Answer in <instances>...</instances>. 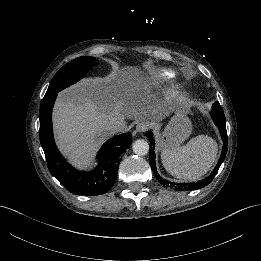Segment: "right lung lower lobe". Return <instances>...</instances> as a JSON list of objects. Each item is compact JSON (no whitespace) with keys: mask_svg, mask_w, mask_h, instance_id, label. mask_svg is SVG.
<instances>
[{"mask_svg":"<svg viewBox=\"0 0 261 261\" xmlns=\"http://www.w3.org/2000/svg\"><path fill=\"white\" fill-rule=\"evenodd\" d=\"M56 97L57 93L42 100L39 115L40 143L50 173L73 194L96 196L107 193L117 178L122 155L132 143L131 133L109 139L97 154V166L91 171H79L62 157L54 141L52 108Z\"/></svg>","mask_w":261,"mask_h":261,"instance_id":"98d812e1","label":"right lung lower lobe"}]
</instances>
